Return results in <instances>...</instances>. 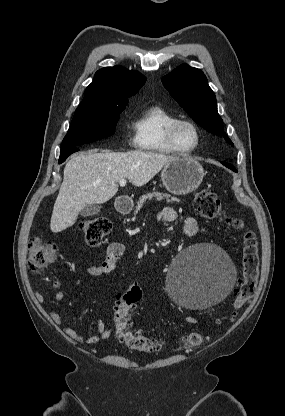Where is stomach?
<instances>
[{"label": "stomach", "mask_w": 285, "mask_h": 416, "mask_svg": "<svg viewBox=\"0 0 285 416\" xmlns=\"http://www.w3.org/2000/svg\"><path fill=\"white\" fill-rule=\"evenodd\" d=\"M204 178V170L193 158H176L164 166L161 172V180L167 192L175 196L191 194L199 188Z\"/></svg>", "instance_id": "obj_1"}]
</instances>
